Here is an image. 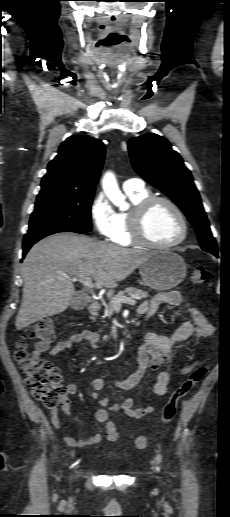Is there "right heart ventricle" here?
Returning a JSON list of instances; mask_svg holds the SVG:
<instances>
[{
  "label": "right heart ventricle",
  "instance_id": "right-heart-ventricle-1",
  "mask_svg": "<svg viewBox=\"0 0 230 517\" xmlns=\"http://www.w3.org/2000/svg\"><path fill=\"white\" fill-rule=\"evenodd\" d=\"M126 194L131 200L133 208L142 200L150 196V192L145 188L140 191L126 192ZM132 210L117 214V229L111 240L118 245L132 246L136 244L131 237L130 215Z\"/></svg>",
  "mask_w": 230,
  "mask_h": 517
}]
</instances>
